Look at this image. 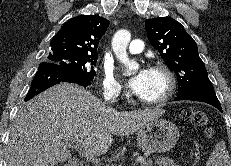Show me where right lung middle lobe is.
I'll list each match as a JSON object with an SVG mask.
<instances>
[{"mask_svg": "<svg viewBox=\"0 0 231 166\" xmlns=\"http://www.w3.org/2000/svg\"><path fill=\"white\" fill-rule=\"evenodd\" d=\"M46 62L61 66L69 71L82 75L91 81L96 74L93 68L96 66L97 57L47 54Z\"/></svg>", "mask_w": 231, "mask_h": 166, "instance_id": "dd1d6c3e", "label": "right lung middle lobe"}]
</instances>
